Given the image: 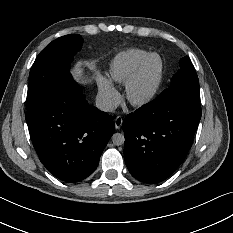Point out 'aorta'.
I'll list each match as a JSON object with an SVG mask.
<instances>
[{"instance_id":"aorta-1","label":"aorta","mask_w":233,"mask_h":233,"mask_svg":"<svg viewBox=\"0 0 233 233\" xmlns=\"http://www.w3.org/2000/svg\"><path fill=\"white\" fill-rule=\"evenodd\" d=\"M112 143L116 146H120L124 144L125 138L121 133H115L112 135Z\"/></svg>"}]
</instances>
